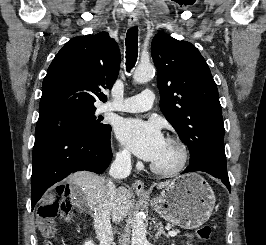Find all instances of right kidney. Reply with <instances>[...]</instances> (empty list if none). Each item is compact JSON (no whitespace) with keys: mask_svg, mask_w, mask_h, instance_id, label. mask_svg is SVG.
I'll use <instances>...</instances> for the list:
<instances>
[{"mask_svg":"<svg viewBox=\"0 0 266 245\" xmlns=\"http://www.w3.org/2000/svg\"><path fill=\"white\" fill-rule=\"evenodd\" d=\"M84 245H94L93 241H86V243H84Z\"/></svg>","mask_w":266,"mask_h":245,"instance_id":"obj_1","label":"right kidney"}]
</instances>
